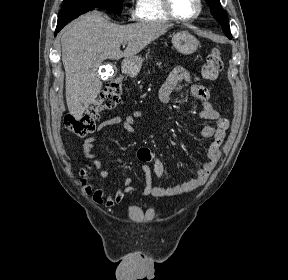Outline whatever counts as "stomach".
<instances>
[{
  "label": "stomach",
  "mask_w": 288,
  "mask_h": 280,
  "mask_svg": "<svg viewBox=\"0 0 288 280\" xmlns=\"http://www.w3.org/2000/svg\"><path fill=\"white\" fill-rule=\"evenodd\" d=\"M173 47L184 55H190L194 53L198 46L199 42L192 34L188 31H179L172 36ZM144 58L141 56H134L127 59V63L130 67L134 69H140Z\"/></svg>",
  "instance_id": "1"
}]
</instances>
